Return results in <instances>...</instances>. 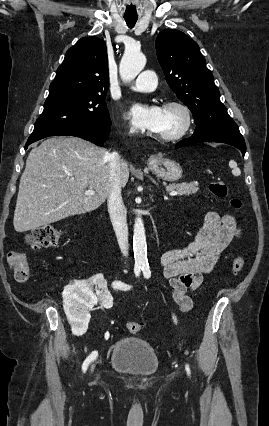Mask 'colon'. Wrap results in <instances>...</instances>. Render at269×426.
<instances>
[{
  "label": "colon",
  "instance_id": "1",
  "mask_svg": "<svg viewBox=\"0 0 269 426\" xmlns=\"http://www.w3.org/2000/svg\"><path fill=\"white\" fill-rule=\"evenodd\" d=\"M210 193L217 198L227 197V186L220 181L211 182L208 186ZM233 209H241V201L237 198L229 200ZM62 230L52 225H43L34 229L28 236L27 241L35 249L49 248L57 245L62 236ZM7 263L14 273V277L19 282H25L30 278L31 269L27 257L20 252H10L7 255ZM245 264L243 256H237L232 262V272L239 273ZM142 324L138 322L127 323V330L131 334H137L141 331Z\"/></svg>",
  "mask_w": 269,
  "mask_h": 426
}]
</instances>
